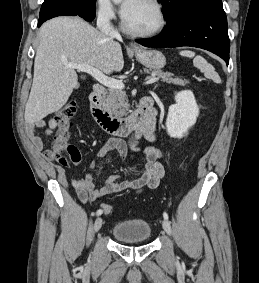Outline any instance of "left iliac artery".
<instances>
[{
	"label": "left iliac artery",
	"mask_w": 259,
	"mask_h": 283,
	"mask_svg": "<svg viewBox=\"0 0 259 283\" xmlns=\"http://www.w3.org/2000/svg\"><path fill=\"white\" fill-rule=\"evenodd\" d=\"M164 219L168 220V214L166 212L163 213Z\"/></svg>",
	"instance_id": "obj_1"
}]
</instances>
